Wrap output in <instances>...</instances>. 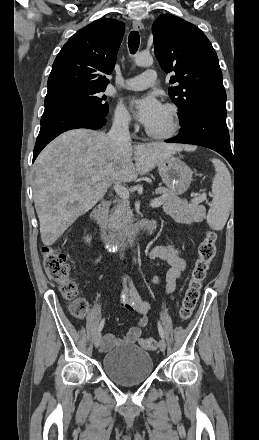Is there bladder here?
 I'll return each instance as SVG.
<instances>
[{
  "label": "bladder",
  "mask_w": 259,
  "mask_h": 440,
  "mask_svg": "<svg viewBox=\"0 0 259 440\" xmlns=\"http://www.w3.org/2000/svg\"><path fill=\"white\" fill-rule=\"evenodd\" d=\"M103 371L119 385L131 386L146 381L153 372L151 355L137 345H123L103 357Z\"/></svg>",
  "instance_id": "1"
}]
</instances>
